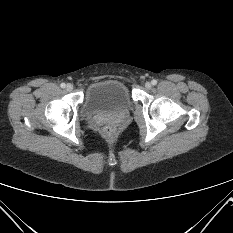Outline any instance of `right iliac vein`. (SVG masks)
Instances as JSON below:
<instances>
[{
    "label": "right iliac vein",
    "mask_w": 233,
    "mask_h": 233,
    "mask_svg": "<svg viewBox=\"0 0 233 233\" xmlns=\"http://www.w3.org/2000/svg\"><path fill=\"white\" fill-rule=\"evenodd\" d=\"M66 90H67V91H69V92H70V91H72V90H73V85H72V84H70V83H69V84H67V86H66Z\"/></svg>",
    "instance_id": "obj_1"
}]
</instances>
